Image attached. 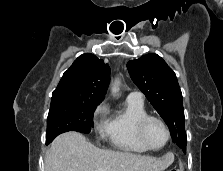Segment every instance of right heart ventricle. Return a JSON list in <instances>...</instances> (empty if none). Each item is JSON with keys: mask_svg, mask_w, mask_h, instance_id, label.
Listing matches in <instances>:
<instances>
[{"mask_svg": "<svg viewBox=\"0 0 223 171\" xmlns=\"http://www.w3.org/2000/svg\"><path fill=\"white\" fill-rule=\"evenodd\" d=\"M148 115L143 101L127 98L124 108L114 111L108 121L105 136L110 144L129 153H146L149 149L142 144L137 135V123Z\"/></svg>", "mask_w": 223, "mask_h": 171, "instance_id": "e07e8e85", "label": "right heart ventricle"}]
</instances>
